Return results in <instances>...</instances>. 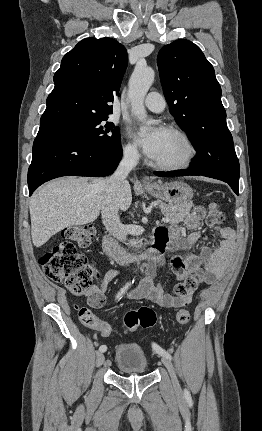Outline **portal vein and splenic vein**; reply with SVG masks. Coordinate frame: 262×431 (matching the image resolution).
Listing matches in <instances>:
<instances>
[{"mask_svg": "<svg viewBox=\"0 0 262 431\" xmlns=\"http://www.w3.org/2000/svg\"><path fill=\"white\" fill-rule=\"evenodd\" d=\"M162 221L167 223L169 221V219L167 217H164V218H162Z\"/></svg>", "mask_w": 262, "mask_h": 431, "instance_id": "portal-vein-and-splenic-vein-1", "label": "portal vein and splenic vein"}]
</instances>
